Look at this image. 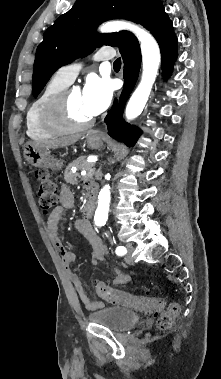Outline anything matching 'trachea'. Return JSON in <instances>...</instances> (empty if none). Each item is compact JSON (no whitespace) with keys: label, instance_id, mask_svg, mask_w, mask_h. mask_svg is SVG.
<instances>
[{"label":"trachea","instance_id":"3493384b","mask_svg":"<svg viewBox=\"0 0 221 379\" xmlns=\"http://www.w3.org/2000/svg\"><path fill=\"white\" fill-rule=\"evenodd\" d=\"M113 65L115 67H120L121 66V59L120 58L116 59Z\"/></svg>","mask_w":221,"mask_h":379}]
</instances>
